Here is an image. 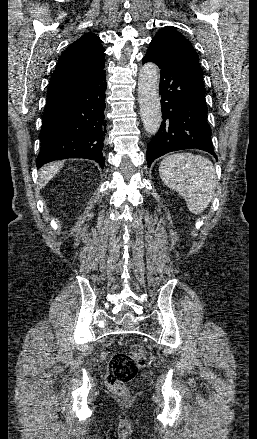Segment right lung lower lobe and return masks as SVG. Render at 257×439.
<instances>
[{"instance_id":"obj_1","label":"right lung lower lobe","mask_w":257,"mask_h":439,"mask_svg":"<svg viewBox=\"0 0 257 439\" xmlns=\"http://www.w3.org/2000/svg\"><path fill=\"white\" fill-rule=\"evenodd\" d=\"M105 71L47 94L37 167L66 158L94 160L103 168L106 133Z\"/></svg>"}]
</instances>
